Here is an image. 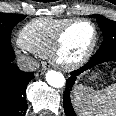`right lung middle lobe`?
<instances>
[{
	"label": "right lung middle lobe",
	"instance_id": "dd1d6c3e",
	"mask_svg": "<svg viewBox=\"0 0 116 116\" xmlns=\"http://www.w3.org/2000/svg\"><path fill=\"white\" fill-rule=\"evenodd\" d=\"M26 16L21 14L0 13V61L4 62L12 52L11 31Z\"/></svg>",
	"mask_w": 116,
	"mask_h": 116
}]
</instances>
